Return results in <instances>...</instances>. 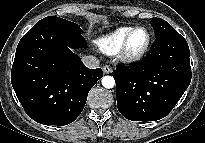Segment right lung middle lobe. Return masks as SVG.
<instances>
[{
  "label": "right lung middle lobe",
  "mask_w": 205,
  "mask_h": 143,
  "mask_svg": "<svg viewBox=\"0 0 205 143\" xmlns=\"http://www.w3.org/2000/svg\"><path fill=\"white\" fill-rule=\"evenodd\" d=\"M40 22H54L57 23L63 27H66L70 30H73L79 34H82L83 31L80 28V26L76 23H73L71 21L65 20L63 18L60 17H56V16H49V17H45L44 19L40 20Z\"/></svg>",
  "instance_id": "right-lung-middle-lobe-1"
}]
</instances>
